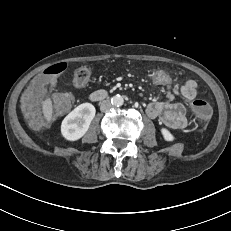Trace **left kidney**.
<instances>
[{
	"mask_svg": "<svg viewBox=\"0 0 231 231\" xmlns=\"http://www.w3.org/2000/svg\"><path fill=\"white\" fill-rule=\"evenodd\" d=\"M161 133L163 135V138L166 141H173L174 136L171 134V132L167 128H161Z\"/></svg>",
	"mask_w": 231,
	"mask_h": 231,
	"instance_id": "1",
	"label": "left kidney"
}]
</instances>
